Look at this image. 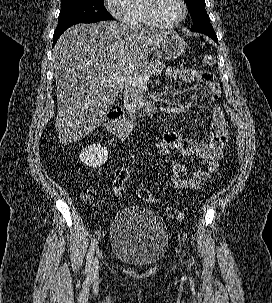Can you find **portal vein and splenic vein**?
Wrapping results in <instances>:
<instances>
[{
	"label": "portal vein and splenic vein",
	"mask_w": 272,
	"mask_h": 303,
	"mask_svg": "<svg viewBox=\"0 0 272 303\" xmlns=\"http://www.w3.org/2000/svg\"><path fill=\"white\" fill-rule=\"evenodd\" d=\"M149 75L145 76H137V75H112L107 76L102 79V82L108 81V82H116L128 86H146L147 81L149 80Z\"/></svg>",
	"instance_id": "obj_1"
}]
</instances>
